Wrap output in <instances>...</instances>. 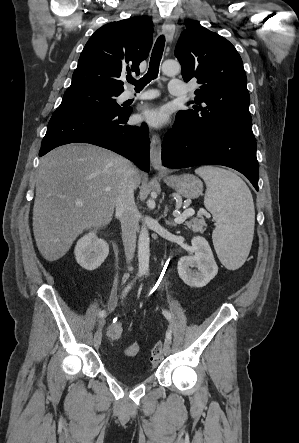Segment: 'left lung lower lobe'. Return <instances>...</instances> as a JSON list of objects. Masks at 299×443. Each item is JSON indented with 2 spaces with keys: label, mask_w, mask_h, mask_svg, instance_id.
Returning <instances> with one entry per match:
<instances>
[{
  "label": "left lung lower lobe",
  "mask_w": 299,
  "mask_h": 443,
  "mask_svg": "<svg viewBox=\"0 0 299 443\" xmlns=\"http://www.w3.org/2000/svg\"><path fill=\"white\" fill-rule=\"evenodd\" d=\"M162 164L168 168L223 165L244 174L258 191L256 140L252 130H203L176 115L162 143Z\"/></svg>",
  "instance_id": "0a47b994"
}]
</instances>
